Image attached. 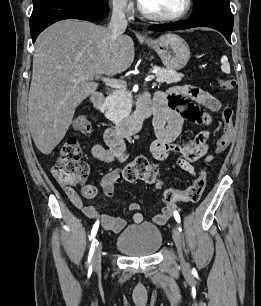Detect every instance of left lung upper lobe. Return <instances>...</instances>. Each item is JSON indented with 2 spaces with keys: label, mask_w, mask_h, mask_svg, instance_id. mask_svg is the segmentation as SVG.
I'll list each match as a JSON object with an SVG mask.
<instances>
[{
  "label": "left lung upper lobe",
  "mask_w": 261,
  "mask_h": 306,
  "mask_svg": "<svg viewBox=\"0 0 261 306\" xmlns=\"http://www.w3.org/2000/svg\"><path fill=\"white\" fill-rule=\"evenodd\" d=\"M192 18H219L233 16L230 0H193Z\"/></svg>",
  "instance_id": "1"
}]
</instances>
